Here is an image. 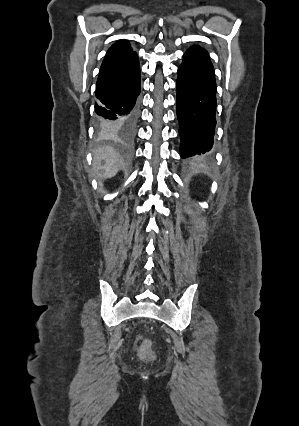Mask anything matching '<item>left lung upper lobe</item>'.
<instances>
[{"label":"left lung upper lobe","mask_w":299,"mask_h":426,"mask_svg":"<svg viewBox=\"0 0 299 426\" xmlns=\"http://www.w3.org/2000/svg\"><path fill=\"white\" fill-rule=\"evenodd\" d=\"M199 49H202V48L199 47V46H192V47L189 48V50H199Z\"/></svg>","instance_id":"left-lung-upper-lobe-1"}]
</instances>
